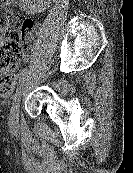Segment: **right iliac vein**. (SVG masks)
Instances as JSON below:
<instances>
[{"label": "right iliac vein", "instance_id": "obj_1", "mask_svg": "<svg viewBox=\"0 0 133 173\" xmlns=\"http://www.w3.org/2000/svg\"><path fill=\"white\" fill-rule=\"evenodd\" d=\"M24 88H25V82L23 80L21 82L19 88L17 89L16 94H15L14 99H13V104H12V108L10 111V117H9V121H10L11 125H15L17 123L18 108H19V103H20Z\"/></svg>", "mask_w": 133, "mask_h": 173}]
</instances>
